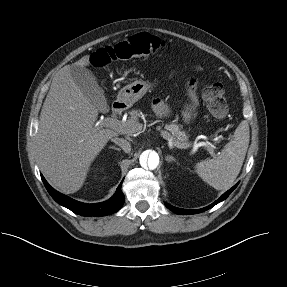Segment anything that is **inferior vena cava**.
I'll list each match as a JSON object with an SVG mask.
<instances>
[{"mask_svg": "<svg viewBox=\"0 0 287 287\" xmlns=\"http://www.w3.org/2000/svg\"><path fill=\"white\" fill-rule=\"evenodd\" d=\"M115 144L119 145L124 152L129 153L131 151V144L126 139L123 138H112L111 139Z\"/></svg>", "mask_w": 287, "mask_h": 287, "instance_id": "1", "label": "inferior vena cava"}]
</instances>
